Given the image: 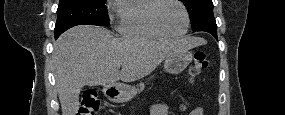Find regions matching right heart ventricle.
<instances>
[{
	"label": "right heart ventricle",
	"mask_w": 285,
	"mask_h": 115,
	"mask_svg": "<svg viewBox=\"0 0 285 115\" xmlns=\"http://www.w3.org/2000/svg\"><path fill=\"white\" fill-rule=\"evenodd\" d=\"M157 0L121 1L117 6L119 32L128 37L165 39L152 24L150 15Z\"/></svg>",
	"instance_id": "obj_1"
}]
</instances>
